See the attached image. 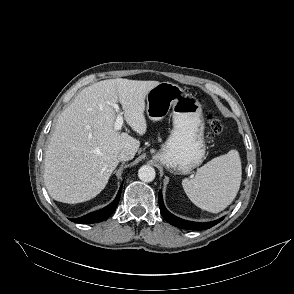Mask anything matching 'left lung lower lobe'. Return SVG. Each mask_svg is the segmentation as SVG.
I'll list each match as a JSON object with an SVG mask.
<instances>
[{"label":"left lung lower lobe","mask_w":294,"mask_h":294,"mask_svg":"<svg viewBox=\"0 0 294 294\" xmlns=\"http://www.w3.org/2000/svg\"><path fill=\"white\" fill-rule=\"evenodd\" d=\"M158 200H159L160 212H161L162 216L164 217V219L168 223H170L171 225H174V226L182 228V229L205 230V229L211 228L212 226L216 225L221 220H223V217H222L216 221L208 222V223H196V222L186 221V220H183V219H180V218L174 216L165 208L161 191L159 192Z\"/></svg>","instance_id":"0a47b994"}]
</instances>
